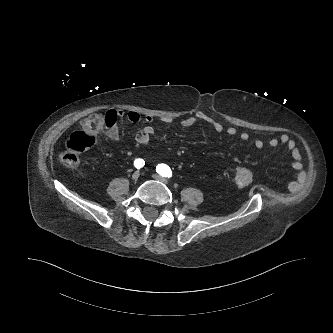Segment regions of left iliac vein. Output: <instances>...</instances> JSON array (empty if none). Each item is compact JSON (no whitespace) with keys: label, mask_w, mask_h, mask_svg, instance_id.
<instances>
[{"label":"left iliac vein","mask_w":333,"mask_h":333,"mask_svg":"<svg viewBox=\"0 0 333 333\" xmlns=\"http://www.w3.org/2000/svg\"><path fill=\"white\" fill-rule=\"evenodd\" d=\"M152 177L155 179V180H157V181H159V182H161V183H163V184H168L169 182L164 178V177H162V176H160V175H158V174H154V175H152Z\"/></svg>","instance_id":"1"}]
</instances>
